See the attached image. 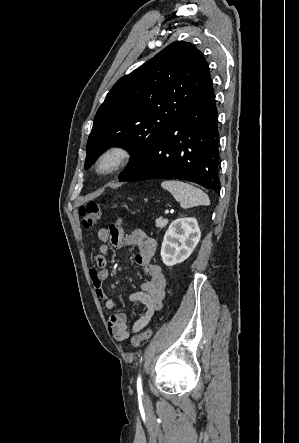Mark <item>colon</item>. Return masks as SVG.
<instances>
[{
    "mask_svg": "<svg viewBox=\"0 0 299 443\" xmlns=\"http://www.w3.org/2000/svg\"><path fill=\"white\" fill-rule=\"evenodd\" d=\"M80 215L82 216V223L84 227L89 228L95 226L101 216L100 206L95 202H88L80 206L79 208ZM152 335L151 329H146L143 332L136 334L131 339V345L134 348H138L141 344L148 340Z\"/></svg>",
    "mask_w": 299,
    "mask_h": 443,
    "instance_id": "colon-1",
    "label": "colon"
}]
</instances>
